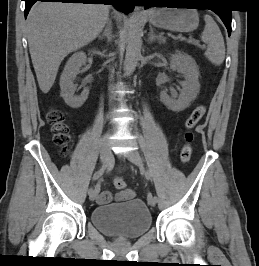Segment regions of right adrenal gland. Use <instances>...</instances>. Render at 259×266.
Returning <instances> with one entry per match:
<instances>
[{
	"instance_id": "obj_1",
	"label": "right adrenal gland",
	"mask_w": 259,
	"mask_h": 266,
	"mask_svg": "<svg viewBox=\"0 0 259 266\" xmlns=\"http://www.w3.org/2000/svg\"><path fill=\"white\" fill-rule=\"evenodd\" d=\"M112 26H111V21H108L107 22V25H106V27H105V30H104V32L101 34V35H99V39H103V38H107V40H108V42H110L111 41V39H112Z\"/></svg>"
}]
</instances>
